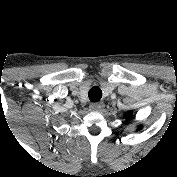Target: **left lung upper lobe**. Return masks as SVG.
I'll return each mask as SVG.
<instances>
[{"label": "left lung upper lobe", "instance_id": "left-lung-upper-lobe-1", "mask_svg": "<svg viewBox=\"0 0 177 177\" xmlns=\"http://www.w3.org/2000/svg\"><path fill=\"white\" fill-rule=\"evenodd\" d=\"M125 117H126L127 119H131V118H132V112H131V111L127 112V113L125 114ZM139 128H141V126H140Z\"/></svg>", "mask_w": 177, "mask_h": 177}]
</instances>
